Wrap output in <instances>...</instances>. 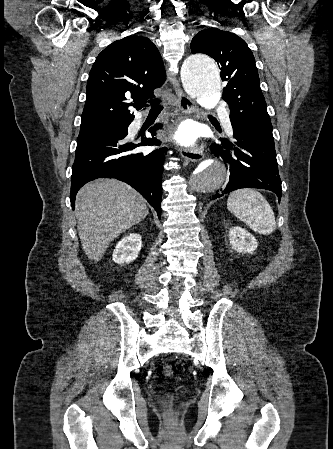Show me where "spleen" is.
<instances>
[{
    "label": "spleen",
    "mask_w": 333,
    "mask_h": 449,
    "mask_svg": "<svg viewBox=\"0 0 333 449\" xmlns=\"http://www.w3.org/2000/svg\"><path fill=\"white\" fill-rule=\"evenodd\" d=\"M227 208L255 232L271 234L275 230L273 210L257 190L242 188L232 192L227 200Z\"/></svg>",
    "instance_id": "spleen-1"
}]
</instances>
